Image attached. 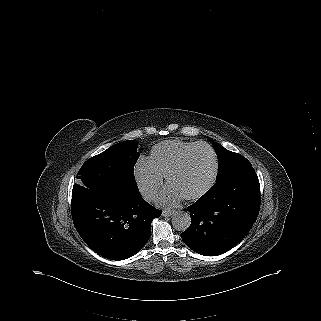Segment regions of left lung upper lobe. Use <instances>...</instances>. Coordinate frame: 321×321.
<instances>
[{
	"instance_id": "obj_1",
	"label": "left lung upper lobe",
	"mask_w": 321,
	"mask_h": 321,
	"mask_svg": "<svg viewBox=\"0 0 321 321\" xmlns=\"http://www.w3.org/2000/svg\"><path fill=\"white\" fill-rule=\"evenodd\" d=\"M213 146L215 148L216 154L219 158V171L216 177V181L222 178L226 173L231 170L252 166L251 163L242 155L229 151L220 145L217 142H213Z\"/></svg>"
}]
</instances>
